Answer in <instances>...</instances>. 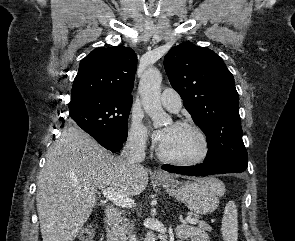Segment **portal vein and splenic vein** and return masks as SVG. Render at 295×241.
<instances>
[{
    "mask_svg": "<svg viewBox=\"0 0 295 241\" xmlns=\"http://www.w3.org/2000/svg\"><path fill=\"white\" fill-rule=\"evenodd\" d=\"M102 193L108 200H110L113 204L117 206L124 207V208L126 207L132 208L135 206L134 200H132L129 197H125L116 193V191L112 188L102 189ZM185 222L190 224H197V220L190 217H187L185 219Z\"/></svg>",
    "mask_w": 295,
    "mask_h": 241,
    "instance_id": "1",
    "label": "portal vein and splenic vein"
}]
</instances>
